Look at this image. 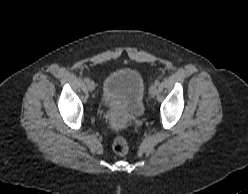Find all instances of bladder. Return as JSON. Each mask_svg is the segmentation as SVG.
<instances>
[{"mask_svg":"<svg viewBox=\"0 0 248 194\" xmlns=\"http://www.w3.org/2000/svg\"><path fill=\"white\" fill-rule=\"evenodd\" d=\"M144 79L139 70L121 67L110 72L104 80L101 102L109 108L117 101L126 102L131 117L141 115L144 110Z\"/></svg>","mask_w":248,"mask_h":194,"instance_id":"31cf9c89","label":"bladder"}]
</instances>
